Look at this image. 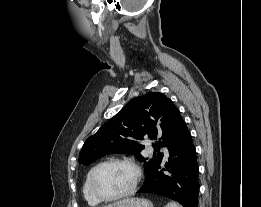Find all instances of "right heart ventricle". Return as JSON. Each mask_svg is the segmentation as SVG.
<instances>
[{"label":"right heart ventricle","mask_w":261,"mask_h":207,"mask_svg":"<svg viewBox=\"0 0 261 207\" xmlns=\"http://www.w3.org/2000/svg\"><path fill=\"white\" fill-rule=\"evenodd\" d=\"M94 168H95V166L90 168V170L87 172L86 177L84 179L83 187H82L83 196H84L86 202L90 206H96L99 204V201L92 195L91 190H90V175Z\"/></svg>","instance_id":"right-heart-ventricle-1"}]
</instances>
